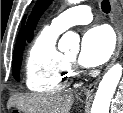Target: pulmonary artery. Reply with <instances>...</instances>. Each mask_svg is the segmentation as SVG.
<instances>
[{"label": "pulmonary artery", "mask_w": 123, "mask_h": 113, "mask_svg": "<svg viewBox=\"0 0 123 113\" xmlns=\"http://www.w3.org/2000/svg\"><path fill=\"white\" fill-rule=\"evenodd\" d=\"M93 18L92 7L89 5H76L61 13L51 22V27L57 31H64L77 24H87Z\"/></svg>", "instance_id": "e3ab8cb5"}]
</instances>
